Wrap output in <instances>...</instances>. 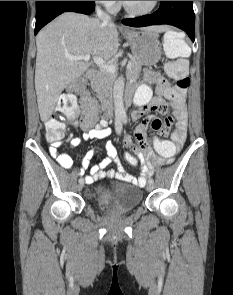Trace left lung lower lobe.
<instances>
[{
    "mask_svg": "<svg viewBox=\"0 0 233 295\" xmlns=\"http://www.w3.org/2000/svg\"><path fill=\"white\" fill-rule=\"evenodd\" d=\"M122 23L133 27L170 24L184 30L192 41L195 40V14L192 1H161L155 13L124 19Z\"/></svg>",
    "mask_w": 233,
    "mask_h": 295,
    "instance_id": "0a47b994",
    "label": "left lung lower lobe"
}]
</instances>
